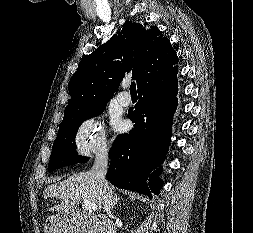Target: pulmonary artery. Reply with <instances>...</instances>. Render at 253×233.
Listing matches in <instances>:
<instances>
[{
    "label": "pulmonary artery",
    "mask_w": 253,
    "mask_h": 233,
    "mask_svg": "<svg viewBox=\"0 0 253 233\" xmlns=\"http://www.w3.org/2000/svg\"><path fill=\"white\" fill-rule=\"evenodd\" d=\"M123 87L126 88L127 84H124ZM117 101L121 106L127 107L131 103V98L127 92L123 91L117 96Z\"/></svg>",
    "instance_id": "obj_1"
}]
</instances>
